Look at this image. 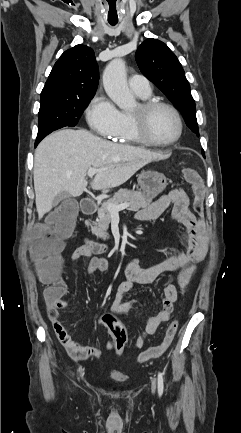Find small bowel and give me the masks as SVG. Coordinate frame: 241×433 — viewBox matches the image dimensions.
Listing matches in <instances>:
<instances>
[{
    "instance_id": "obj_1",
    "label": "small bowel",
    "mask_w": 241,
    "mask_h": 433,
    "mask_svg": "<svg viewBox=\"0 0 241 433\" xmlns=\"http://www.w3.org/2000/svg\"><path fill=\"white\" fill-rule=\"evenodd\" d=\"M189 204L190 199L187 192L184 189L178 188L161 196L136 214V218L140 221L155 220L162 216L170 207H173L172 215L185 232L186 247L165 261L149 268L142 267L137 258L129 260L125 266L126 279L118 285L110 305L113 313L127 314L141 303V299L138 297L127 301L123 299L124 295L132 290L136 284L151 283L161 273L176 270H181L180 276L187 274L191 278L197 264L204 260L207 253L205 224L189 210ZM83 257H90L86 267L88 275L107 271L108 261L104 257L94 255L86 245L78 247L73 252L72 260L76 262ZM66 293L67 287L65 285L62 295L53 302L47 303V313L55 335L72 359L81 361L89 358H98L100 350L77 342L67 332L60 319L59 310L68 306V301L63 299ZM177 298V287L174 284L166 285L161 301V309L149 317L145 331L133 343L132 349L137 350L142 348L144 339L148 335H153L160 325L170 319ZM103 321L100 316L99 324L104 326ZM113 343L108 341L105 343V347L109 350H114Z\"/></svg>"
}]
</instances>
